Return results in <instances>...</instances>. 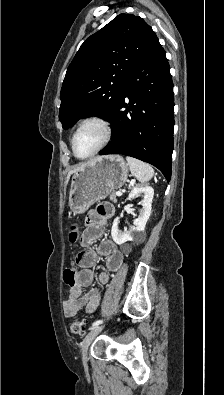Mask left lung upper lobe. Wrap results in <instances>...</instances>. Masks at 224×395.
I'll use <instances>...</instances> for the list:
<instances>
[{"instance_id": "1", "label": "left lung upper lobe", "mask_w": 224, "mask_h": 395, "mask_svg": "<svg viewBox=\"0 0 224 395\" xmlns=\"http://www.w3.org/2000/svg\"><path fill=\"white\" fill-rule=\"evenodd\" d=\"M157 41L142 18L124 13L88 37L63 81L59 110L63 128L88 116L110 120L129 76Z\"/></svg>"}]
</instances>
